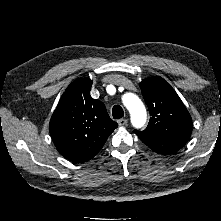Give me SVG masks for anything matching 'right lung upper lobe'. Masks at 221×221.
Here are the masks:
<instances>
[{"instance_id":"cb5924a9","label":"right lung upper lobe","mask_w":221,"mask_h":221,"mask_svg":"<svg viewBox=\"0 0 221 221\" xmlns=\"http://www.w3.org/2000/svg\"><path fill=\"white\" fill-rule=\"evenodd\" d=\"M91 85L90 78L72 82L63 93L49 124L57 150L75 162L92 159L118 127L104 104L90 96Z\"/></svg>"}]
</instances>
